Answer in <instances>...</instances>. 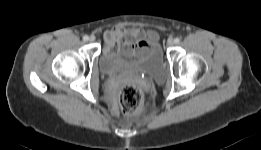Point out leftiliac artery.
Instances as JSON below:
<instances>
[{
  "label": "left iliac artery",
  "instance_id": "obj_1",
  "mask_svg": "<svg viewBox=\"0 0 261 150\" xmlns=\"http://www.w3.org/2000/svg\"><path fill=\"white\" fill-rule=\"evenodd\" d=\"M174 42H175L176 44H178V43L180 42V39H179V38H175V39H174Z\"/></svg>",
  "mask_w": 261,
  "mask_h": 150
}]
</instances>
